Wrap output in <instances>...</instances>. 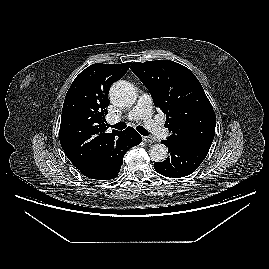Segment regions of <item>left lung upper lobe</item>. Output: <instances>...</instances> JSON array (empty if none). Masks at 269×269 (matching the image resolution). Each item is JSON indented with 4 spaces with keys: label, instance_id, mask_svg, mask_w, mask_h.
Listing matches in <instances>:
<instances>
[{
    "label": "left lung upper lobe",
    "instance_id": "5c2ea615",
    "mask_svg": "<svg viewBox=\"0 0 269 269\" xmlns=\"http://www.w3.org/2000/svg\"><path fill=\"white\" fill-rule=\"evenodd\" d=\"M131 70L150 91L155 106L166 115L171 133L168 142L210 148L216 115L202 85L188 68L157 60L132 63Z\"/></svg>",
    "mask_w": 269,
    "mask_h": 269
}]
</instances>
